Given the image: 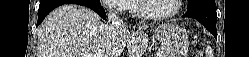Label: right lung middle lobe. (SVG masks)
<instances>
[{
    "mask_svg": "<svg viewBox=\"0 0 249 57\" xmlns=\"http://www.w3.org/2000/svg\"><path fill=\"white\" fill-rule=\"evenodd\" d=\"M87 2H92L94 4H100V0H86Z\"/></svg>",
    "mask_w": 249,
    "mask_h": 57,
    "instance_id": "right-lung-middle-lobe-1",
    "label": "right lung middle lobe"
}]
</instances>
